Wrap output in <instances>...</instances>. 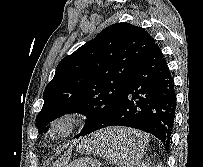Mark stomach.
Returning <instances> with one entry per match:
<instances>
[{"label": "stomach", "mask_w": 203, "mask_h": 167, "mask_svg": "<svg viewBox=\"0 0 203 167\" xmlns=\"http://www.w3.org/2000/svg\"><path fill=\"white\" fill-rule=\"evenodd\" d=\"M115 128H110V129H106L100 133L95 134L94 136L97 138H102V136H106L109 135V132H111L112 130H114ZM103 141L105 140H111L113 138L108 137V138H102ZM139 149V148H138ZM137 151V154L140 156V151ZM83 152H88V149H84L82 148ZM67 167H101L99 163H97L96 161L90 159V158H80L78 160H75L74 162H72L70 165H68Z\"/></svg>", "instance_id": "1"}]
</instances>
